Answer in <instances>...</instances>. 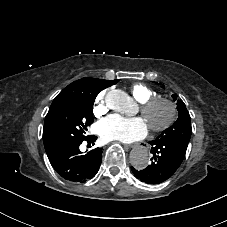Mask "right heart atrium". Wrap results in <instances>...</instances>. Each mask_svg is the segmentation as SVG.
Returning <instances> with one entry per match:
<instances>
[{
    "instance_id": "1",
    "label": "right heart atrium",
    "mask_w": 227,
    "mask_h": 227,
    "mask_svg": "<svg viewBox=\"0 0 227 227\" xmlns=\"http://www.w3.org/2000/svg\"><path fill=\"white\" fill-rule=\"evenodd\" d=\"M103 97H104V93H101V94L98 96V101L101 102V101L103 100ZM104 109H105L104 105H102V104L100 103V105H99L97 111H98V112H102V111H104Z\"/></svg>"
}]
</instances>
